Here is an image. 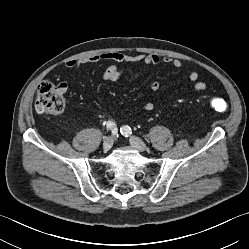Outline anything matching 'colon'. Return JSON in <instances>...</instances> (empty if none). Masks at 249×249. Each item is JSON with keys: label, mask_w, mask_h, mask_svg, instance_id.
<instances>
[{"label": "colon", "mask_w": 249, "mask_h": 249, "mask_svg": "<svg viewBox=\"0 0 249 249\" xmlns=\"http://www.w3.org/2000/svg\"><path fill=\"white\" fill-rule=\"evenodd\" d=\"M65 106L66 100L61 84L44 82L40 85L35 99V110L38 113L58 115L64 111ZM210 107L217 112H224L227 109V103L224 99L214 96L210 99Z\"/></svg>", "instance_id": "colon-1"}]
</instances>
